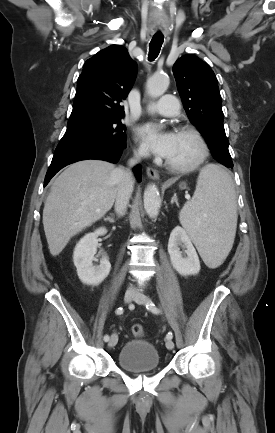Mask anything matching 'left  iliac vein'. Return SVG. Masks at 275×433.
<instances>
[{
  "label": "left iliac vein",
  "instance_id": "obj_1",
  "mask_svg": "<svg viewBox=\"0 0 275 433\" xmlns=\"http://www.w3.org/2000/svg\"><path fill=\"white\" fill-rule=\"evenodd\" d=\"M133 300H134L137 304L142 305V304H146V303H147L148 298H147V296H145L144 294H142V293H140V292H137V293H135V296H134ZM166 348H167L168 350H172V349L174 348V343H173V341H172L171 339H168V340L166 341Z\"/></svg>",
  "mask_w": 275,
  "mask_h": 433
}]
</instances>
